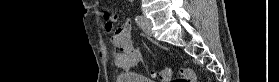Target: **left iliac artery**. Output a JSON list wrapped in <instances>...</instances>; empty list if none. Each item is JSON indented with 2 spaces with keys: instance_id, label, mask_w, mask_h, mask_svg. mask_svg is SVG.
Returning <instances> with one entry per match:
<instances>
[{
  "instance_id": "44dca946",
  "label": "left iliac artery",
  "mask_w": 279,
  "mask_h": 82,
  "mask_svg": "<svg viewBox=\"0 0 279 82\" xmlns=\"http://www.w3.org/2000/svg\"><path fill=\"white\" fill-rule=\"evenodd\" d=\"M143 20V16H141V15H136L135 16V21L136 22H141Z\"/></svg>"
}]
</instances>
